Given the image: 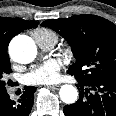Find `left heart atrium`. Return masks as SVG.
I'll return each instance as SVG.
<instances>
[{
  "instance_id": "obj_1",
  "label": "left heart atrium",
  "mask_w": 116,
  "mask_h": 116,
  "mask_svg": "<svg viewBox=\"0 0 116 116\" xmlns=\"http://www.w3.org/2000/svg\"><path fill=\"white\" fill-rule=\"evenodd\" d=\"M61 62L51 58L45 62L34 66L25 76V81L28 84H51L57 81Z\"/></svg>"
}]
</instances>
